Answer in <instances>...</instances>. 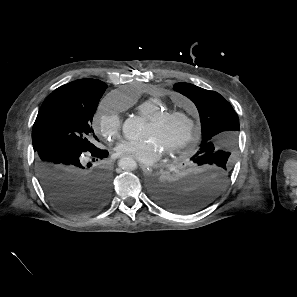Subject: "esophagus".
Returning <instances> with one entry per match:
<instances>
[{"mask_svg":"<svg viewBox=\"0 0 297 297\" xmlns=\"http://www.w3.org/2000/svg\"><path fill=\"white\" fill-rule=\"evenodd\" d=\"M140 167H141V169L143 170L144 173L149 174V173L152 172L151 167H149L148 165L140 164Z\"/></svg>","mask_w":297,"mask_h":297,"instance_id":"esophagus-1","label":"esophagus"}]
</instances>
